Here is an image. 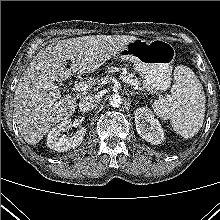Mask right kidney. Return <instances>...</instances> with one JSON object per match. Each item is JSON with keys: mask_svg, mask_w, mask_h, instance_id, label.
<instances>
[{"mask_svg": "<svg viewBox=\"0 0 220 220\" xmlns=\"http://www.w3.org/2000/svg\"><path fill=\"white\" fill-rule=\"evenodd\" d=\"M71 126V122L65 120L52 128L47 135V146L58 152H65L79 146L86 134V129L82 127L72 137H67L63 133L68 132Z\"/></svg>", "mask_w": 220, "mask_h": 220, "instance_id": "1", "label": "right kidney"}]
</instances>
